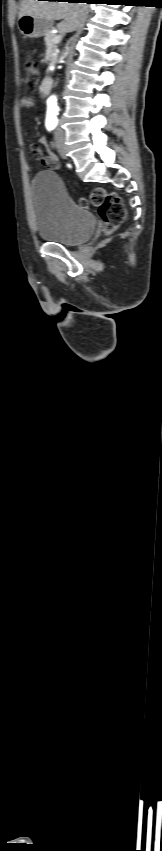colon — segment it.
<instances>
[{"mask_svg": "<svg viewBox=\"0 0 162 851\" xmlns=\"http://www.w3.org/2000/svg\"><path fill=\"white\" fill-rule=\"evenodd\" d=\"M39 78V71L31 64L26 63L24 81L29 90H34ZM83 208L95 207L104 222V230L110 233L116 230L126 217L125 206L116 192L108 191L103 187L94 188L88 197L79 200Z\"/></svg>", "mask_w": 162, "mask_h": 851, "instance_id": "obj_1", "label": "colon"}]
</instances>
